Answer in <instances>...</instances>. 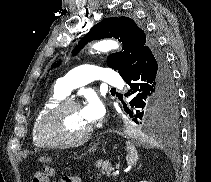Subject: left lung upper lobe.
<instances>
[{
    "label": "left lung upper lobe",
    "instance_id": "obj_1",
    "mask_svg": "<svg viewBox=\"0 0 211 182\" xmlns=\"http://www.w3.org/2000/svg\"><path fill=\"white\" fill-rule=\"evenodd\" d=\"M114 37L123 44V52L114 53L108 56L107 65L118 70L121 77H124L136 64L142 51L149 45L150 40L142 29H140L133 19L128 17L105 18L94 25L91 30L80 40L73 51L76 55L89 41ZM59 63H54L53 67ZM176 120L168 122L171 126Z\"/></svg>",
    "mask_w": 211,
    "mask_h": 182
}]
</instances>
